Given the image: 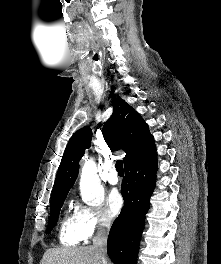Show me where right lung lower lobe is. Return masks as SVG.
Masks as SVG:
<instances>
[{"label":"right lung lower lobe","mask_w":221,"mask_h":264,"mask_svg":"<svg viewBox=\"0 0 221 264\" xmlns=\"http://www.w3.org/2000/svg\"><path fill=\"white\" fill-rule=\"evenodd\" d=\"M157 154L149 160L127 166L121 192L124 208L114 221L107 253L114 264H136L139 242L155 187Z\"/></svg>","instance_id":"98d812e1"}]
</instances>
